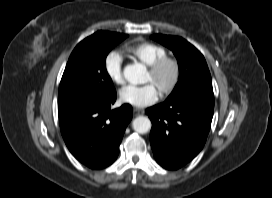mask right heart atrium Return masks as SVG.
Instances as JSON below:
<instances>
[{
  "label": "right heart atrium",
  "mask_w": 272,
  "mask_h": 198,
  "mask_svg": "<svg viewBox=\"0 0 272 198\" xmlns=\"http://www.w3.org/2000/svg\"><path fill=\"white\" fill-rule=\"evenodd\" d=\"M104 71L112 83L124 84L123 57L118 51H110L104 59Z\"/></svg>",
  "instance_id": "d8ad5b80"
}]
</instances>
